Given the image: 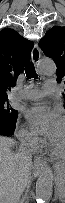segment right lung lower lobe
I'll list each match as a JSON object with an SVG mask.
<instances>
[{"instance_id": "1", "label": "right lung lower lobe", "mask_w": 65, "mask_h": 203, "mask_svg": "<svg viewBox=\"0 0 65 203\" xmlns=\"http://www.w3.org/2000/svg\"><path fill=\"white\" fill-rule=\"evenodd\" d=\"M15 124L0 123V135L9 136V135L13 134L14 130H15Z\"/></svg>"}]
</instances>
